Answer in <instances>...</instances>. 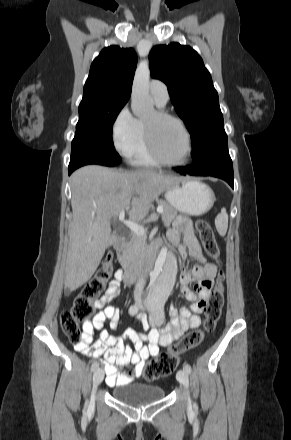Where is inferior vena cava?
Wrapping results in <instances>:
<instances>
[{"mask_svg":"<svg viewBox=\"0 0 291 440\" xmlns=\"http://www.w3.org/2000/svg\"><path fill=\"white\" fill-rule=\"evenodd\" d=\"M145 284H146V278L145 276L142 275L139 277L134 289V300L137 303L141 302V295L143 293Z\"/></svg>","mask_w":291,"mask_h":440,"instance_id":"inferior-vena-cava-1","label":"inferior vena cava"}]
</instances>
